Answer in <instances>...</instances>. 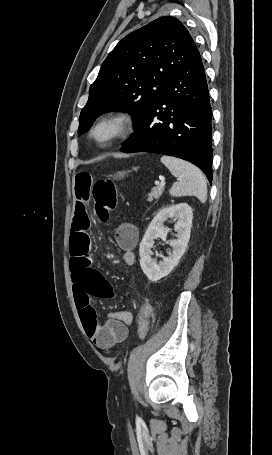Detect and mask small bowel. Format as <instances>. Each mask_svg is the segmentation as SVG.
Segmentation results:
<instances>
[{"label": "small bowel", "instance_id": "1", "mask_svg": "<svg viewBox=\"0 0 272 455\" xmlns=\"http://www.w3.org/2000/svg\"><path fill=\"white\" fill-rule=\"evenodd\" d=\"M94 184V177L89 172L80 171L75 175L76 207L70 234V270L74 283V299L84 330L97 347L110 352L115 345L128 337V326L132 323L133 315L129 311L111 312L106 322L100 325L97 312L91 304L93 297L110 299L116 295L110 283L94 268L93 255L90 252L88 203ZM138 238V230L132 223H121L115 230V240L123 251L126 265L136 262L134 249Z\"/></svg>", "mask_w": 272, "mask_h": 455}]
</instances>
